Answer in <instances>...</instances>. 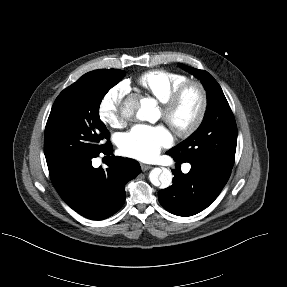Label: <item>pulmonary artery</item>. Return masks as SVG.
I'll return each mask as SVG.
<instances>
[{
	"mask_svg": "<svg viewBox=\"0 0 287 287\" xmlns=\"http://www.w3.org/2000/svg\"><path fill=\"white\" fill-rule=\"evenodd\" d=\"M188 169H189V166L186 167V170H188Z\"/></svg>",
	"mask_w": 287,
	"mask_h": 287,
	"instance_id": "1",
	"label": "pulmonary artery"
}]
</instances>
